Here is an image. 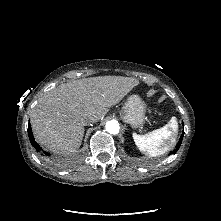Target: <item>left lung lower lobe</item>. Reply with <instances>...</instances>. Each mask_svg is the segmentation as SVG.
I'll use <instances>...</instances> for the list:
<instances>
[{
	"mask_svg": "<svg viewBox=\"0 0 221 221\" xmlns=\"http://www.w3.org/2000/svg\"><path fill=\"white\" fill-rule=\"evenodd\" d=\"M183 126H184V124H183ZM183 136H184V130H183V133H182V135H181V137H180L179 142H178L177 145H176V149H174L170 154H175V153L178 151V149H179V147H180V145H181Z\"/></svg>",
	"mask_w": 221,
	"mask_h": 221,
	"instance_id": "0a47b994",
	"label": "left lung lower lobe"
}]
</instances>
